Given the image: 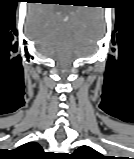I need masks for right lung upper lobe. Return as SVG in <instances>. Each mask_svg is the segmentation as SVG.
Segmentation results:
<instances>
[{"mask_svg":"<svg viewBox=\"0 0 134 159\" xmlns=\"http://www.w3.org/2000/svg\"><path fill=\"white\" fill-rule=\"evenodd\" d=\"M16 151L25 154L27 156L25 159H37L43 152L42 148L36 142L26 143L17 148Z\"/></svg>","mask_w":134,"mask_h":159,"instance_id":"cb5924a9","label":"right lung upper lobe"}]
</instances>
